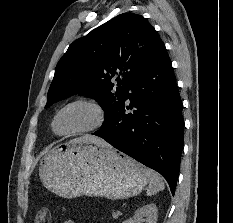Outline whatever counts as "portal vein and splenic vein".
<instances>
[{
	"mask_svg": "<svg viewBox=\"0 0 233 223\" xmlns=\"http://www.w3.org/2000/svg\"><path fill=\"white\" fill-rule=\"evenodd\" d=\"M112 217H118V213H116V211H113Z\"/></svg>",
	"mask_w": 233,
	"mask_h": 223,
	"instance_id": "obj_1",
	"label": "portal vein and splenic vein"
}]
</instances>
